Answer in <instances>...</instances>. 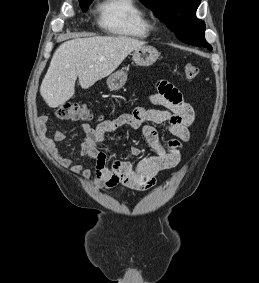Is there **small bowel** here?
Returning <instances> with one entry per match:
<instances>
[{"label":"small bowel","mask_w":259,"mask_h":283,"mask_svg":"<svg viewBox=\"0 0 259 283\" xmlns=\"http://www.w3.org/2000/svg\"><path fill=\"white\" fill-rule=\"evenodd\" d=\"M153 105L163 109L138 106L131 113H123L115 118L100 122L92 127L83 123L80 129L83 133L81 155L94 161V167H85L75 163L71 158L63 157L56 144L65 140L66 135L57 131L53 136L52 148L59 162L72 173L80 174L82 178H94L97 185L107 189L147 190L155 184L157 174L165 169L176 167L182 159V142L189 140V127L194 121L192 107L183 99L181 93L170 83L161 81L157 92L150 95ZM49 116H40L37 120L39 131L44 132ZM152 124L164 125L173 138L160 140L159 130ZM128 126L140 130L155 155L142 158L136 165L129 161L110 158L101 144L107 136L120 127ZM133 156H139L141 149L129 147ZM110 160L111 166H107Z\"/></svg>","instance_id":"c3829d8e"}]
</instances>
